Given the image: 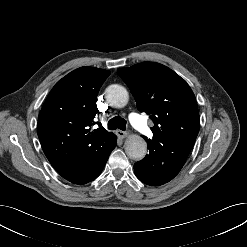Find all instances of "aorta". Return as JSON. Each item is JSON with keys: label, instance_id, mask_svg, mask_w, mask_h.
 <instances>
[{"label": "aorta", "instance_id": "aorta-1", "mask_svg": "<svg viewBox=\"0 0 247 247\" xmlns=\"http://www.w3.org/2000/svg\"><path fill=\"white\" fill-rule=\"evenodd\" d=\"M106 99L115 108H123L127 105L129 94L126 88L113 84L106 89ZM127 156L135 161L141 160L147 153V144L139 135H131L124 144Z\"/></svg>", "mask_w": 247, "mask_h": 247}]
</instances>
